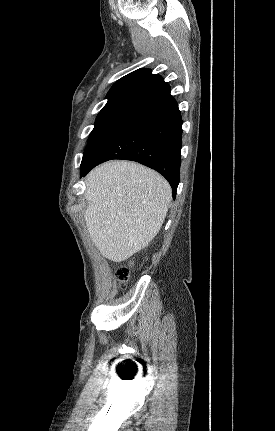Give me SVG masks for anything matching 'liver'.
<instances>
[{
  "mask_svg": "<svg viewBox=\"0 0 275 431\" xmlns=\"http://www.w3.org/2000/svg\"><path fill=\"white\" fill-rule=\"evenodd\" d=\"M84 213L102 256L121 262L145 248L165 220L172 191L157 172L130 161H111L85 179Z\"/></svg>",
  "mask_w": 275,
  "mask_h": 431,
  "instance_id": "liver-1",
  "label": "liver"
}]
</instances>
